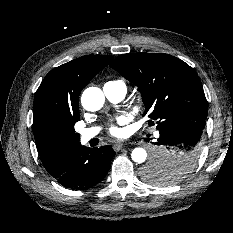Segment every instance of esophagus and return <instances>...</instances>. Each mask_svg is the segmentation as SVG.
<instances>
[{
	"label": "esophagus",
	"mask_w": 233,
	"mask_h": 233,
	"mask_svg": "<svg viewBox=\"0 0 233 233\" xmlns=\"http://www.w3.org/2000/svg\"><path fill=\"white\" fill-rule=\"evenodd\" d=\"M124 146V143L123 142H116L114 145H113V149L115 151H120L122 149V147Z\"/></svg>",
	"instance_id": "1"
}]
</instances>
